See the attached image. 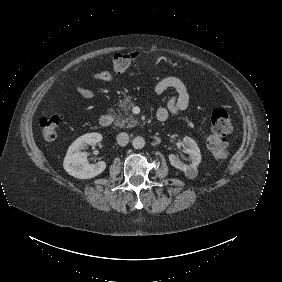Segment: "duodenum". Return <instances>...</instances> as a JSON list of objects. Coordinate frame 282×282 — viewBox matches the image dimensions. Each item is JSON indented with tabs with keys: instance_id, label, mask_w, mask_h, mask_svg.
<instances>
[{
	"instance_id": "1",
	"label": "duodenum",
	"mask_w": 282,
	"mask_h": 282,
	"mask_svg": "<svg viewBox=\"0 0 282 282\" xmlns=\"http://www.w3.org/2000/svg\"><path fill=\"white\" fill-rule=\"evenodd\" d=\"M113 122V115L110 113H106L101 116L99 123L102 127H109Z\"/></svg>"
}]
</instances>
